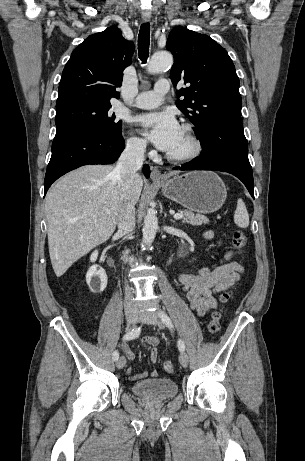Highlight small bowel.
I'll return each instance as SVG.
<instances>
[{
    "instance_id": "obj_1",
    "label": "small bowel",
    "mask_w": 305,
    "mask_h": 461,
    "mask_svg": "<svg viewBox=\"0 0 305 461\" xmlns=\"http://www.w3.org/2000/svg\"><path fill=\"white\" fill-rule=\"evenodd\" d=\"M214 233L207 231L204 233L206 239L213 238ZM234 252L227 251L217 262L210 266L202 267L198 273H183L179 276L182 291L190 305V308L200 317L206 315L218 305L216 294L228 288L239 278L244 268L242 264L233 260ZM160 340L155 336L144 337L141 341L143 348L149 354L150 361L157 363V346ZM123 352L129 360L135 359L134 352L127 344L121 346ZM146 373L130 375L131 379L146 377ZM156 370L151 372V376L156 377Z\"/></svg>"
}]
</instances>
